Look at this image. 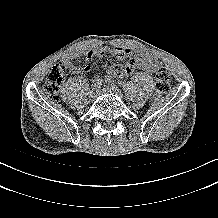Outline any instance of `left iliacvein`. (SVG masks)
<instances>
[{
  "instance_id": "1",
  "label": "left iliac vein",
  "mask_w": 218,
  "mask_h": 218,
  "mask_svg": "<svg viewBox=\"0 0 218 218\" xmlns=\"http://www.w3.org/2000/svg\"><path fill=\"white\" fill-rule=\"evenodd\" d=\"M103 91L105 93L115 94L120 98L123 97V92L118 87H115L114 85H108V86L104 87Z\"/></svg>"
}]
</instances>
